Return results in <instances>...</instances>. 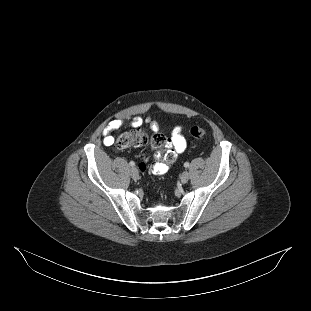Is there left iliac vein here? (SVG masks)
I'll list each match as a JSON object with an SVG mask.
<instances>
[{"instance_id":"obj_1","label":"left iliac vein","mask_w":311,"mask_h":311,"mask_svg":"<svg viewBox=\"0 0 311 311\" xmlns=\"http://www.w3.org/2000/svg\"><path fill=\"white\" fill-rule=\"evenodd\" d=\"M180 180L183 184L187 183L189 180V173L187 171H184L180 176Z\"/></svg>"}]
</instances>
